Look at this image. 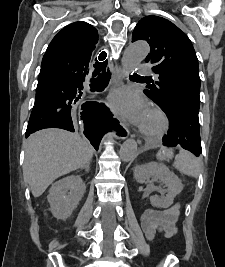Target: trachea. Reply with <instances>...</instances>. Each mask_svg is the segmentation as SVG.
Here are the masks:
<instances>
[{
  "mask_svg": "<svg viewBox=\"0 0 225 267\" xmlns=\"http://www.w3.org/2000/svg\"><path fill=\"white\" fill-rule=\"evenodd\" d=\"M132 77H141V76L138 75V74H136V73H134V74L132 75Z\"/></svg>",
  "mask_w": 225,
  "mask_h": 267,
  "instance_id": "1",
  "label": "trachea"
}]
</instances>
